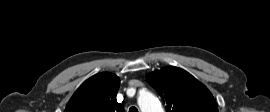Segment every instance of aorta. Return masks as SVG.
<instances>
[{
    "label": "aorta",
    "mask_w": 270,
    "mask_h": 112,
    "mask_svg": "<svg viewBox=\"0 0 270 112\" xmlns=\"http://www.w3.org/2000/svg\"><path fill=\"white\" fill-rule=\"evenodd\" d=\"M138 105L142 112H164L157 97L149 91L140 93Z\"/></svg>",
    "instance_id": "762f6f07"
}]
</instances>
